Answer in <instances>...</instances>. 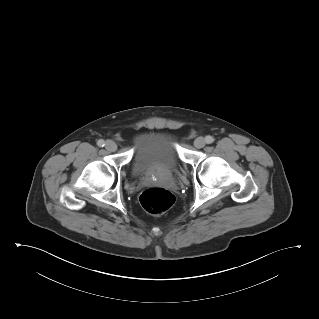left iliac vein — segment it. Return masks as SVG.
Listing matches in <instances>:
<instances>
[{
  "label": "left iliac vein",
  "mask_w": 319,
  "mask_h": 319,
  "mask_svg": "<svg viewBox=\"0 0 319 319\" xmlns=\"http://www.w3.org/2000/svg\"><path fill=\"white\" fill-rule=\"evenodd\" d=\"M194 146L196 148H202L205 146V139L203 137H198L194 140Z\"/></svg>",
  "instance_id": "4c4485c4"
}]
</instances>
